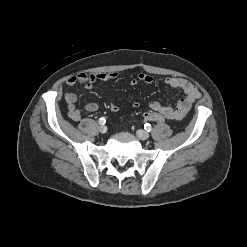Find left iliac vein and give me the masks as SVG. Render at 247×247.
I'll use <instances>...</instances> for the list:
<instances>
[{
	"label": "left iliac vein",
	"mask_w": 247,
	"mask_h": 247,
	"mask_svg": "<svg viewBox=\"0 0 247 247\" xmlns=\"http://www.w3.org/2000/svg\"><path fill=\"white\" fill-rule=\"evenodd\" d=\"M136 134L140 140H147L150 137L148 132L141 129L137 130Z\"/></svg>",
	"instance_id": "4c4485c4"
}]
</instances>
